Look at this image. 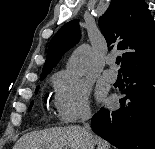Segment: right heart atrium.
I'll list each match as a JSON object with an SVG mask.
<instances>
[{"label": "right heart atrium", "mask_w": 155, "mask_h": 149, "mask_svg": "<svg viewBox=\"0 0 155 149\" xmlns=\"http://www.w3.org/2000/svg\"><path fill=\"white\" fill-rule=\"evenodd\" d=\"M54 107L57 118L64 124L90 118L89 87L83 80L65 71L53 77Z\"/></svg>", "instance_id": "1"}]
</instances>
